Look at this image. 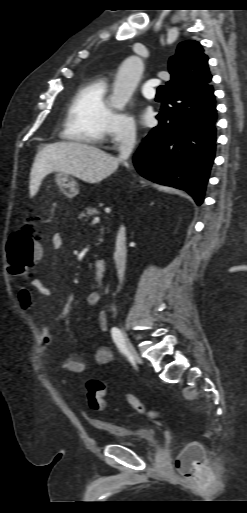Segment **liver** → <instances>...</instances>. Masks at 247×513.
Listing matches in <instances>:
<instances>
[{
    "label": "liver",
    "instance_id": "6515ba94",
    "mask_svg": "<svg viewBox=\"0 0 247 513\" xmlns=\"http://www.w3.org/2000/svg\"><path fill=\"white\" fill-rule=\"evenodd\" d=\"M120 160L87 144L58 142L45 146L35 157L30 176L33 196L42 179L50 172H63L95 184L110 176Z\"/></svg>",
    "mask_w": 247,
    "mask_h": 513
}]
</instances>
